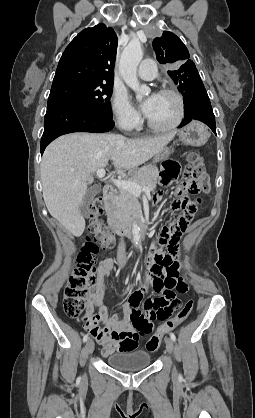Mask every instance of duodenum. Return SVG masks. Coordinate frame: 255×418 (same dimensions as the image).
Returning a JSON list of instances; mask_svg holds the SVG:
<instances>
[{"mask_svg":"<svg viewBox=\"0 0 255 418\" xmlns=\"http://www.w3.org/2000/svg\"><path fill=\"white\" fill-rule=\"evenodd\" d=\"M114 195V186L106 184L103 187V197L110 212L108 223L111 230L119 236L128 237L133 236L135 233H145L147 230V224L139 213H135L129 219L118 218L112 214L110 204Z\"/></svg>","mask_w":255,"mask_h":418,"instance_id":"obj_1","label":"duodenum"}]
</instances>
